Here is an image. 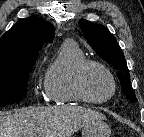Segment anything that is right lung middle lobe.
I'll use <instances>...</instances> for the list:
<instances>
[{"label":"right lung middle lobe","mask_w":144,"mask_h":137,"mask_svg":"<svg viewBox=\"0 0 144 137\" xmlns=\"http://www.w3.org/2000/svg\"><path fill=\"white\" fill-rule=\"evenodd\" d=\"M36 59L0 64V107L16 103L26 95V86Z\"/></svg>","instance_id":"obj_1"}]
</instances>
